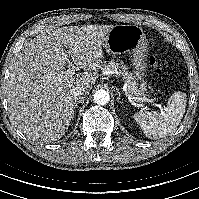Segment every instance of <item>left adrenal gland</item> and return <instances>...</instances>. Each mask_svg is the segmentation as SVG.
Masks as SVG:
<instances>
[{"label": "left adrenal gland", "instance_id": "obj_1", "mask_svg": "<svg viewBox=\"0 0 199 199\" xmlns=\"http://www.w3.org/2000/svg\"><path fill=\"white\" fill-rule=\"evenodd\" d=\"M119 100H121V94H120V92L118 91L117 101L120 102V103H122V101H119Z\"/></svg>", "mask_w": 199, "mask_h": 199}]
</instances>
